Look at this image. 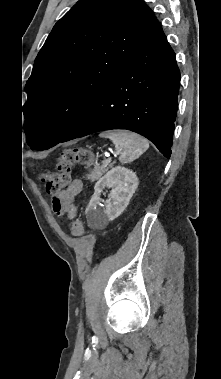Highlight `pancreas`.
Instances as JSON below:
<instances>
[{
    "instance_id": "pancreas-1",
    "label": "pancreas",
    "mask_w": 221,
    "mask_h": 379,
    "mask_svg": "<svg viewBox=\"0 0 221 379\" xmlns=\"http://www.w3.org/2000/svg\"><path fill=\"white\" fill-rule=\"evenodd\" d=\"M108 168L109 167L103 163L101 166H97L91 170L90 173L87 174L86 178L91 182H94L98 180L108 170Z\"/></svg>"
}]
</instances>
